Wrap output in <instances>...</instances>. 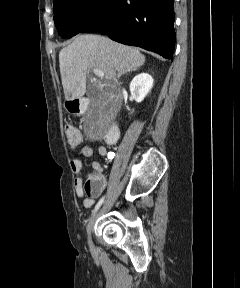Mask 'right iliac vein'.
Masks as SVG:
<instances>
[{
  "mask_svg": "<svg viewBox=\"0 0 240 288\" xmlns=\"http://www.w3.org/2000/svg\"><path fill=\"white\" fill-rule=\"evenodd\" d=\"M96 218H97V212L93 214V216L90 218L89 223L87 225V234H88V238L90 242H91V231H92Z\"/></svg>",
  "mask_w": 240,
  "mask_h": 288,
  "instance_id": "obj_1",
  "label": "right iliac vein"
}]
</instances>
